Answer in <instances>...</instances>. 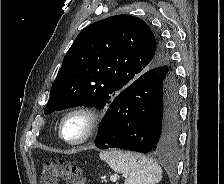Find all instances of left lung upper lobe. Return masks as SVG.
<instances>
[{
  "mask_svg": "<svg viewBox=\"0 0 224 184\" xmlns=\"http://www.w3.org/2000/svg\"><path fill=\"white\" fill-rule=\"evenodd\" d=\"M169 62L164 45L140 18L116 15L98 21L79 33L66 53L44 113L108 107L139 76Z\"/></svg>",
  "mask_w": 224,
  "mask_h": 184,
  "instance_id": "obj_1",
  "label": "left lung upper lobe"
}]
</instances>
